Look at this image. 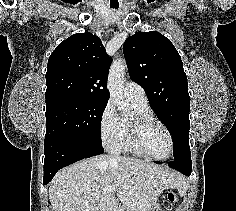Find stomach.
<instances>
[{
    "label": "stomach",
    "mask_w": 236,
    "mask_h": 211,
    "mask_svg": "<svg viewBox=\"0 0 236 211\" xmlns=\"http://www.w3.org/2000/svg\"><path fill=\"white\" fill-rule=\"evenodd\" d=\"M149 211H160L159 204L156 202Z\"/></svg>",
    "instance_id": "0dacf381"
}]
</instances>
